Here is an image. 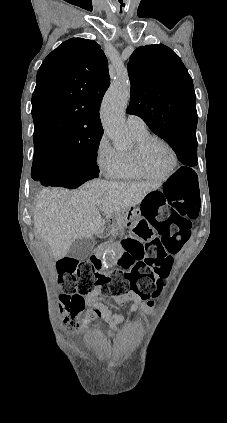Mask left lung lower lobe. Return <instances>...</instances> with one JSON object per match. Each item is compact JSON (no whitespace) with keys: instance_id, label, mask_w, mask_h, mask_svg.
<instances>
[{"instance_id":"left-lung-lower-lobe-1","label":"left lung lower lobe","mask_w":227,"mask_h":423,"mask_svg":"<svg viewBox=\"0 0 227 423\" xmlns=\"http://www.w3.org/2000/svg\"><path fill=\"white\" fill-rule=\"evenodd\" d=\"M169 145L173 148L182 164L188 166H196L198 164L196 136L181 137L180 139L171 142ZM180 173L195 174V172L188 167H181L176 175Z\"/></svg>"}]
</instances>
